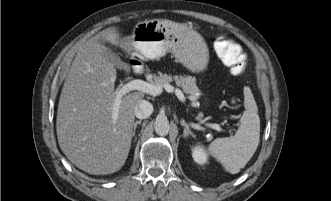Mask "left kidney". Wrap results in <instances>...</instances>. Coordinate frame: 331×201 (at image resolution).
I'll return each instance as SVG.
<instances>
[{"instance_id": "1", "label": "left kidney", "mask_w": 331, "mask_h": 201, "mask_svg": "<svg viewBox=\"0 0 331 201\" xmlns=\"http://www.w3.org/2000/svg\"><path fill=\"white\" fill-rule=\"evenodd\" d=\"M192 157L194 161L200 165H203L208 161V156L201 146H195L192 149Z\"/></svg>"}]
</instances>
